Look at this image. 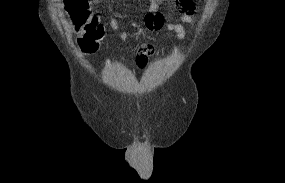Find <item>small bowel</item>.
I'll use <instances>...</instances> for the list:
<instances>
[{
	"instance_id": "small-bowel-1",
	"label": "small bowel",
	"mask_w": 285,
	"mask_h": 183,
	"mask_svg": "<svg viewBox=\"0 0 285 183\" xmlns=\"http://www.w3.org/2000/svg\"><path fill=\"white\" fill-rule=\"evenodd\" d=\"M178 2L181 9V14L179 17L180 23L165 22L162 14L157 11L161 3L160 0H153L151 10L145 16L144 21L146 27L152 31H160L164 28L167 31L174 33L179 40H185L187 31L184 25L186 24L193 27L195 24L193 0H180ZM188 8H191L193 11L187 12L186 9ZM109 25L113 31L119 30V24L115 18L110 19ZM119 37L122 42H126L129 39V34L126 31H122L120 32ZM154 52L155 49L153 45L143 43L138 50V55L136 58L137 64H146Z\"/></svg>"
}]
</instances>
